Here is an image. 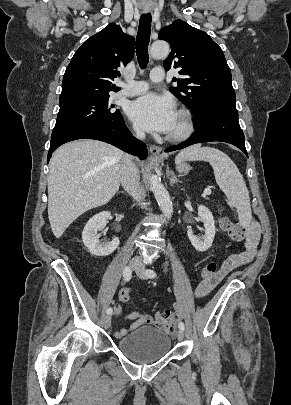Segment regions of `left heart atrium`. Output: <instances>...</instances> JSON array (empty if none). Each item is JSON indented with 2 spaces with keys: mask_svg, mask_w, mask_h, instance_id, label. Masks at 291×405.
<instances>
[{
  "mask_svg": "<svg viewBox=\"0 0 291 405\" xmlns=\"http://www.w3.org/2000/svg\"><path fill=\"white\" fill-rule=\"evenodd\" d=\"M127 114L146 131L169 133L174 126L177 112L169 97L147 93L130 103Z\"/></svg>",
  "mask_w": 291,
  "mask_h": 405,
  "instance_id": "obj_1",
  "label": "left heart atrium"
}]
</instances>
